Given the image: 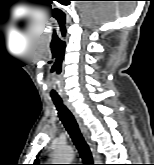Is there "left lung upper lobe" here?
<instances>
[{
  "instance_id": "5c2ea615",
  "label": "left lung upper lobe",
  "mask_w": 154,
  "mask_h": 165,
  "mask_svg": "<svg viewBox=\"0 0 154 165\" xmlns=\"http://www.w3.org/2000/svg\"><path fill=\"white\" fill-rule=\"evenodd\" d=\"M33 165H39V163H38V157H36V160L34 161V164Z\"/></svg>"
}]
</instances>
